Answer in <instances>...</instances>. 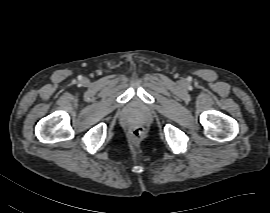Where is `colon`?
Wrapping results in <instances>:
<instances>
[{"instance_id":"5ec220e1","label":"colon","mask_w":270,"mask_h":213,"mask_svg":"<svg viewBox=\"0 0 270 213\" xmlns=\"http://www.w3.org/2000/svg\"><path fill=\"white\" fill-rule=\"evenodd\" d=\"M142 133H143V131H142L141 128L134 129L132 131V137H133V139L136 140V141H138L141 138Z\"/></svg>"}]
</instances>
